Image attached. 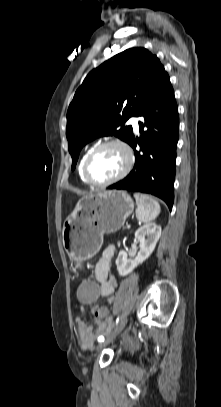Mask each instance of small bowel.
Here are the masks:
<instances>
[{"instance_id": "c3829d8e", "label": "small bowel", "mask_w": 221, "mask_h": 407, "mask_svg": "<svg viewBox=\"0 0 221 407\" xmlns=\"http://www.w3.org/2000/svg\"><path fill=\"white\" fill-rule=\"evenodd\" d=\"M115 252L116 249L114 246L110 245L106 247L95 265V277L97 278V283L101 285L100 294L103 297H107L109 303L114 301V293L117 288V279L110 274L111 261ZM96 309L99 308L94 307L93 310L95 311ZM75 323L78 328L79 345L84 350L91 349L96 337L108 329V323L102 320L97 321L96 329L86 324L80 317L75 319Z\"/></svg>"}]
</instances>
